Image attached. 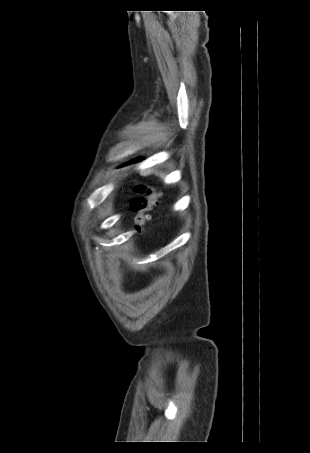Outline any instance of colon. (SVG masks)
<instances>
[{"label": "colon", "mask_w": 310, "mask_h": 453, "mask_svg": "<svg viewBox=\"0 0 310 453\" xmlns=\"http://www.w3.org/2000/svg\"><path fill=\"white\" fill-rule=\"evenodd\" d=\"M136 197L131 201V208L135 214V230L144 233L150 212L158 204L161 193L154 187L138 184L135 187Z\"/></svg>", "instance_id": "obj_1"}]
</instances>
